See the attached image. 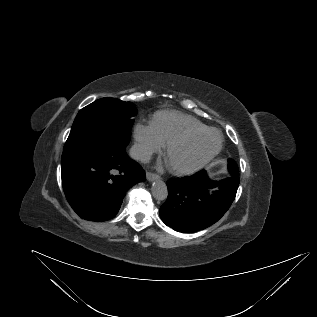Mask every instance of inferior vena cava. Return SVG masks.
Wrapping results in <instances>:
<instances>
[{"mask_svg": "<svg viewBox=\"0 0 317 317\" xmlns=\"http://www.w3.org/2000/svg\"><path fill=\"white\" fill-rule=\"evenodd\" d=\"M130 156L142 162H148L151 158L150 152L140 144H134L130 149Z\"/></svg>", "mask_w": 317, "mask_h": 317, "instance_id": "1", "label": "inferior vena cava"}]
</instances>
